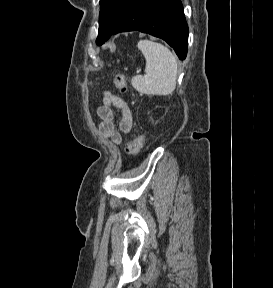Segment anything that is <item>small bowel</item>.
Returning <instances> with one entry per match:
<instances>
[{
	"label": "small bowel",
	"instance_id": "obj_1",
	"mask_svg": "<svg viewBox=\"0 0 273 288\" xmlns=\"http://www.w3.org/2000/svg\"><path fill=\"white\" fill-rule=\"evenodd\" d=\"M113 108L119 111L118 129L114 125ZM97 115L101 120L99 123L100 133L117 145L122 143L124 135L132 129L133 116L129 102L109 91H104L102 104L97 108Z\"/></svg>",
	"mask_w": 273,
	"mask_h": 288
}]
</instances>
